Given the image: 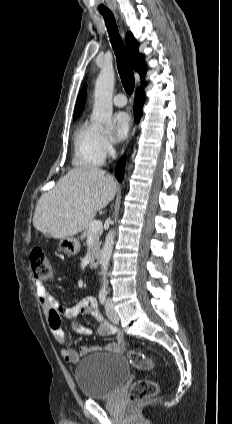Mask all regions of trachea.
<instances>
[{
  "label": "trachea",
  "mask_w": 232,
  "mask_h": 424,
  "mask_svg": "<svg viewBox=\"0 0 232 424\" xmlns=\"http://www.w3.org/2000/svg\"><path fill=\"white\" fill-rule=\"evenodd\" d=\"M109 32L110 40L117 58L118 72L125 91L131 94L134 90L135 80L129 57L111 12H101Z\"/></svg>",
  "instance_id": "1"
}]
</instances>
